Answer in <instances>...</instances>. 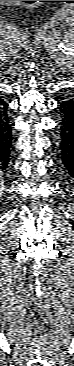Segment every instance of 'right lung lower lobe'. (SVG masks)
Listing matches in <instances>:
<instances>
[{
    "mask_svg": "<svg viewBox=\"0 0 74 366\" xmlns=\"http://www.w3.org/2000/svg\"><path fill=\"white\" fill-rule=\"evenodd\" d=\"M8 105L0 97V166L6 168L12 144L11 126L7 116Z\"/></svg>",
    "mask_w": 74,
    "mask_h": 366,
    "instance_id": "right-lung-lower-lobe-1",
    "label": "right lung lower lobe"
}]
</instances>
